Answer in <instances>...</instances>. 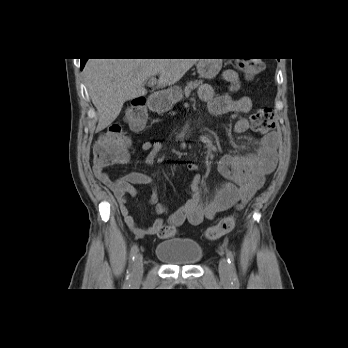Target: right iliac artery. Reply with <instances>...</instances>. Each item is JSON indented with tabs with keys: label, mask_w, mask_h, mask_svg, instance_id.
Here are the masks:
<instances>
[{
	"label": "right iliac artery",
	"mask_w": 348,
	"mask_h": 348,
	"mask_svg": "<svg viewBox=\"0 0 348 348\" xmlns=\"http://www.w3.org/2000/svg\"><path fill=\"white\" fill-rule=\"evenodd\" d=\"M137 252H138V246H137V244H135L132 246L131 251H130V264H129V269H128L127 275H126V282L127 283L129 282V279L131 276V266H132V263L136 257Z\"/></svg>",
	"instance_id": "1"
}]
</instances>
